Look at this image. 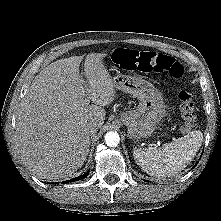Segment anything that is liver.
<instances>
[{
	"instance_id": "liver-1",
	"label": "liver",
	"mask_w": 221,
	"mask_h": 221,
	"mask_svg": "<svg viewBox=\"0 0 221 221\" xmlns=\"http://www.w3.org/2000/svg\"><path fill=\"white\" fill-rule=\"evenodd\" d=\"M103 57L86 56V81L79 70L82 56L57 60L35 77L26 92L16 122L15 149L39 179H66L84 164L90 146L87 124L97 122L100 128L104 107L116 97Z\"/></svg>"
}]
</instances>
